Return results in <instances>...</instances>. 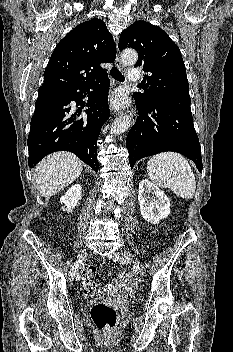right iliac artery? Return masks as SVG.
I'll list each match as a JSON object with an SVG mask.
<instances>
[{
    "instance_id": "82829eb1",
    "label": "right iliac artery",
    "mask_w": 233,
    "mask_h": 352,
    "mask_svg": "<svg viewBox=\"0 0 233 352\" xmlns=\"http://www.w3.org/2000/svg\"><path fill=\"white\" fill-rule=\"evenodd\" d=\"M81 262H82V261L78 260V261H76V262L73 263V265H72V267H71V270H70V272H69V278H70V280H73V279H74V276H75V274H76V271H77V269H78V267H79V265H80Z\"/></svg>"
}]
</instances>
